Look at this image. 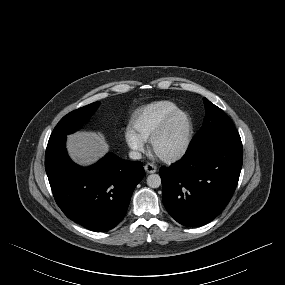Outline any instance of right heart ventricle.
I'll use <instances>...</instances> for the list:
<instances>
[{"label":"right heart ventricle","instance_id":"right-heart-ventricle-1","mask_svg":"<svg viewBox=\"0 0 285 285\" xmlns=\"http://www.w3.org/2000/svg\"><path fill=\"white\" fill-rule=\"evenodd\" d=\"M178 109H180L179 106L170 100L145 104L133 113L132 128L144 140L150 139L163 120Z\"/></svg>","mask_w":285,"mask_h":285}]
</instances>
